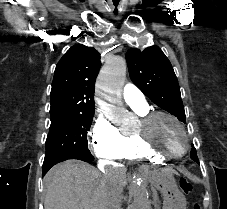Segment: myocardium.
<instances>
[{
    "instance_id": "1",
    "label": "myocardium",
    "mask_w": 227,
    "mask_h": 209,
    "mask_svg": "<svg viewBox=\"0 0 227 209\" xmlns=\"http://www.w3.org/2000/svg\"><path fill=\"white\" fill-rule=\"evenodd\" d=\"M159 116H164V117L169 118L182 131V133L184 134L185 139H186V144H185L183 150L180 153L164 154L160 150L153 147L151 145V143L146 139V137L141 133V131H137L134 133L136 140L139 142V144L144 148V150L147 153H149L153 156H156L162 160L176 159V158H180V157L184 156L190 148V138H189V135L187 133V130H186L184 124L181 122V120L178 117H176L175 115H173L167 111L153 110V111H147L144 115H142L140 117L139 123H140L141 127H143V126L149 124L150 122H152L155 118H157Z\"/></svg>"
}]
</instances>
